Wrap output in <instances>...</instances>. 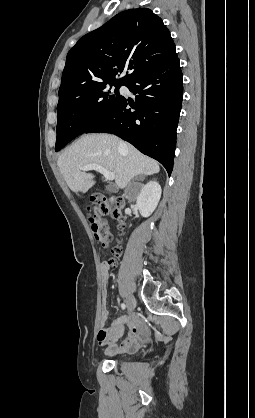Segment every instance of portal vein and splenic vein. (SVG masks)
<instances>
[{
    "mask_svg": "<svg viewBox=\"0 0 255 418\" xmlns=\"http://www.w3.org/2000/svg\"><path fill=\"white\" fill-rule=\"evenodd\" d=\"M80 169L82 171L96 170V171L100 172L101 174H103V176L107 180L112 181V180L115 179V174L113 172H110L109 170L105 169L104 167H102L101 165H98V164H88V165L82 166Z\"/></svg>",
    "mask_w": 255,
    "mask_h": 418,
    "instance_id": "18ae733b",
    "label": "portal vein and splenic vein"
}]
</instances>
